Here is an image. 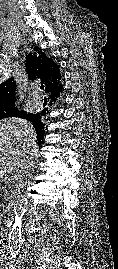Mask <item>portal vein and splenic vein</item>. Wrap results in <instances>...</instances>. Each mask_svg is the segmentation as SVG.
<instances>
[{"label": "portal vein and splenic vein", "instance_id": "portal-vein-and-splenic-vein-1", "mask_svg": "<svg viewBox=\"0 0 118 269\" xmlns=\"http://www.w3.org/2000/svg\"><path fill=\"white\" fill-rule=\"evenodd\" d=\"M3 175H4V174H3L2 172H0V176L3 177Z\"/></svg>", "mask_w": 118, "mask_h": 269}]
</instances>
